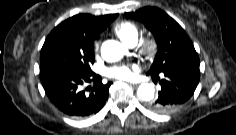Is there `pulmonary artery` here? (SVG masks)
I'll list each match as a JSON object with an SVG mask.
<instances>
[{
    "label": "pulmonary artery",
    "mask_w": 236,
    "mask_h": 135,
    "mask_svg": "<svg viewBox=\"0 0 236 135\" xmlns=\"http://www.w3.org/2000/svg\"><path fill=\"white\" fill-rule=\"evenodd\" d=\"M135 45V43H132L131 45H129V46H134Z\"/></svg>",
    "instance_id": "1"
}]
</instances>
